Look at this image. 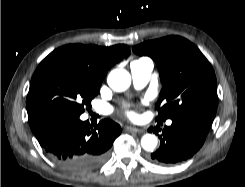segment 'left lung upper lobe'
I'll use <instances>...</instances> for the list:
<instances>
[{"instance_id": "obj_1", "label": "left lung upper lobe", "mask_w": 245, "mask_h": 187, "mask_svg": "<svg viewBox=\"0 0 245 187\" xmlns=\"http://www.w3.org/2000/svg\"><path fill=\"white\" fill-rule=\"evenodd\" d=\"M138 55L150 56L157 64L163 85L156 120L194 116L214 118L217 81L206 57L193 43L168 36L133 47Z\"/></svg>"}]
</instances>
